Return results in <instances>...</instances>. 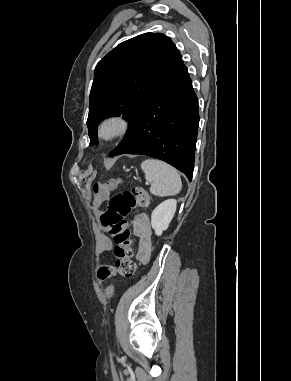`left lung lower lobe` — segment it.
Masks as SVG:
<instances>
[{"instance_id": "left-lung-lower-lobe-1", "label": "left lung lower lobe", "mask_w": 291, "mask_h": 381, "mask_svg": "<svg viewBox=\"0 0 291 381\" xmlns=\"http://www.w3.org/2000/svg\"><path fill=\"white\" fill-rule=\"evenodd\" d=\"M198 125V99L183 64L147 102L128 134L109 156H152L176 167L191 181Z\"/></svg>"}]
</instances>
